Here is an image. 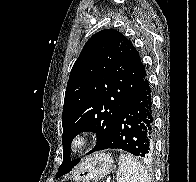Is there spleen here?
I'll list each match as a JSON object with an SVG mask.
<instances>
[{
	"label": "spleen",
	"mask_w": 196,
	"mask_h": 182,
	"mask_svg": "<svg viewBox=\"0 0 196 182\" xmlns=\"http://www.w3.org/2000/svg\"><path fill=\"white\" fill-rule=\"evenodd\" d=\"M116 179L117 182H151L145 168L128 153H121L119 156Z\"/></svg>",
	"instance_id": "obj_1"
}]
</instances>
